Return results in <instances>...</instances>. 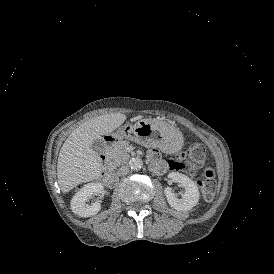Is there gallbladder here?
I'll use <instances>...</instances> for the list:
<instances>
[{
  "label": "gallbladder",
  "instance_id": "gallbladder-1",
  "mask_svg": "<svg viewBox=\"0 0 274 274\" xmlns=\"http://www.w3.org/2000/svg\"><path fill=\"white\" fill-rule=\"evenodd\" d=\"M92 148L95 152L97 153H102L103 152V149H104V142L102 139H97L93 145H92Z\"/></svg>",
  "mask_w": 274,
  "mask_h": 274
}]
</instances>
